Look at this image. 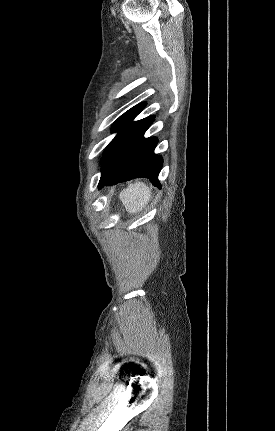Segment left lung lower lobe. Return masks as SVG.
<instances>
[{"label": "left lung lower lobe", "mask_w": 275, "mask_h": 431, "mask_svg": "<svg viewBox=\"0 0 275 431\" xmlns=\"http://www.w3.org/2000/svg\"><path fill=\"white\" fill-rule=\"evenodd\" d=\"M150 124L133 138L118 153L110 166L101 173L99 189L105 185H115L134 178H149L154 185L161 188L158 175L163 160L161 156L154 154L157 139L144 138V133Z\"/></svg>", "instance_id": "obj_1"}]
</instances>
